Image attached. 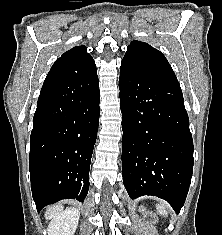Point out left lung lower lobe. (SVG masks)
<instances>
[{
  "instance_id": "left-lung-lower-lobe-1",
  "label": "left lung lower lobe",
  "mask_w": 222,
  "mask_h": 235,
  "mask_svg": "<svg viewBox=\"0 0 222 235\" xmlns=\"http://www.w3.org/2000/svg\"><path fill=\"white\" fill-rule=\"evenodd\" d=\"M123 183L132 199L152 195L176 213L193 171V140L180 85L121 62Z\"/></svg>"
}]
</instances>
